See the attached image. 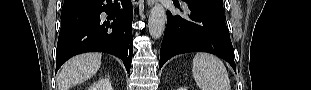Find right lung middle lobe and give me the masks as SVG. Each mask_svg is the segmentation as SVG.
Returning <instances> with one entry per match:
<instances>
[{"label":"right lung middle lobe","mask_w":311,"mask_h":90,"mask_svg":"<svg viewBox=\"0 0 311 90\" xmlns=\"http://www.w3.org/2000/svg\"><path fill=\"white\" fill-rule=\"evenodd\" d=\"M68 1H70V0H65L64 3H65V2H68Z\"/></svg>","instance_id":"right-lung-middle-lobe-1"}]
</instances>
